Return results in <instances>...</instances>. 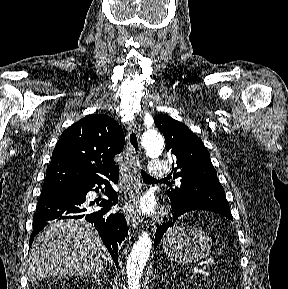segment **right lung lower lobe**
Listing matches in <instances>:
<instances>
[{"instance_id":"98d812e1","label":"right lung lower lobe","mask_w":288,"mask_h":289,"mask_svg":"<svg viewBox=\"0 0 288 289\" xmlns=\"http://www.w3.org/2000/svg\"><path fill=\"white\" fill-rule=\"evenodd\" d=\"M108 179L117 183L118 170L107 176L75 186L42 192L33 217L30 244L33 242L35 235L50 222L84 217L88 222L94 224L112 259L118 265V246L126 236L127 224L123 214L109 212L110 206L116 204L117 193L111 188ZM101 184H105L107 187L106 196L108 200L104 199L99 204L104 209L92 212L89 207L93 203L86 201V195L90 190L98 192Z\"/></svg>"}]
</instances>
